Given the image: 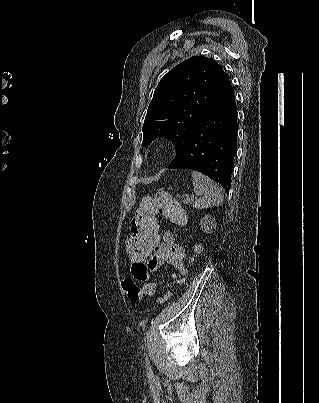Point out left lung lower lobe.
Returning <instances> with one entry per match:
<instances>
[{
    "mask_svg": "<svg viewBox=\"0 0 319 403\" xmlns=\"http://www.w3.org/2000/svg\"><path fill=\"white\" fill-rule=\"evenodd\" d=\"M237 107L230 80L194 128L185 149L168 165L209 176L228 192L236 153Z\"/></svg>",
    "mask_w": 319,
    "mask_h": 403,
    "instance_id": "0a47b994",
    "label": "left lung lower lobe"
}]
</instances>
